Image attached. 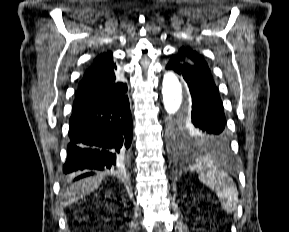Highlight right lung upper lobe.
I'll return each instance as SVG.
<instances>
[{
    "mask_svg": "<svg viewBox=\"0 0 289 232\" xmlns=\"http://www.w3.org/2000/svg\"><path fill=\"white\" fill-rule=\"evenodd\" d=\"M116 70L111 52L97 56L79 83L74 106L112 99L125 92L127 85Z\"/></svg>",
    "mask_w": 289,
    "mask_h": 232,
    "instance_id": "right-lung-upper-lobe-1",
    "label": "right lung upper lobe"
}]
</instances>
